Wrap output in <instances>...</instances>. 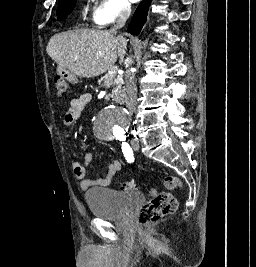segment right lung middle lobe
<instances>
[{
    "label": "right lung middle lobe",
    "instance_id": "right-lung-middle-lobe-1",
    "mask_svg": "<svg viewBox=\"0 0 256 267\" xmlns=\"http://www.w3.org/2000/svg\"><path fill=\"white\" fill-rule=\"evenodd\" d=\"M76 0H63L58 3L57 16L58 20L66 18L75 6Z\"/></svg>",
    "mask_w": 256,
    "mask_h": 267
}]
</instances>
